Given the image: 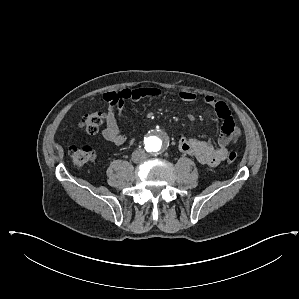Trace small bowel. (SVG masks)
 <instances>
[{"label": "small bowel", "instance_id": "1", "mask_svg": "<svg viewBox=\"0 0 299 299\" xmlns=\"http://www.w3.org/2000/svg\"><path fill=\"white\" fill-rule=\"evenodd\" d=\"M161 95V90L157 87H145L135 89H121L116 92L106 93L101 99V103L110 106L109 112L104 117L102 136L115 145H122L126 142V136L120 130V118L124 105L127 101H138L143 98H157ZM181 100L192 102L196 96L189 91L179 93ZM205 104L213 108L218 118L221 120V132L214 146L211 138L206 141L181 137L178 140L180 151L193 156L198 162L207 166H217L224 161L228 154V145L236 143L241 137V131L236 126L233 116L227 104L212 96H204Z\"/></svg>", "mask_w": 299, "mask_h": 299}]
</instances>
